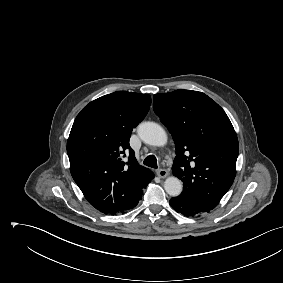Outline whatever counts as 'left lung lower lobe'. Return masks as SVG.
Segmentation results:
<instances>
[{
	"mask_svg": "<svg viewBox=\"0 0 283 283\" xmlns=\"http://www.w3.org/2000/svg\"><path fill=\"white\" fill-rule=\"evenodd\" d=\"M170 206L186 217H193L209 213L214 208L206 205L199 198L182 192L179 196L170 199Z\"/></svg>",
	"mask_w": 283,
	"mask_h": 283,
	"instance_id": "1",
	"label": "left lung lower lobe"
}]
</instances>
